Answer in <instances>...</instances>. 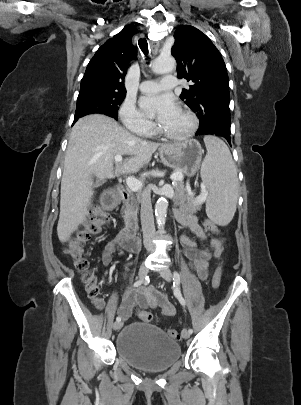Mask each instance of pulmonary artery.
I'll use <instances>...</instances> for the list:
<instances>
[{"label": "pulmonary artery", "instance_id": "e3ab8cb5", "mask_svg": "<svg viewBox=\"0 0 301 405\" xmlns=\"http://www.w3.org/2000/svg\"><path fill=\"white\" fill-rule=\"evenodd\" d=\"M177 86V79L175 76L168 75L163 77L160 81L147 80L140 84V90L143 93H156L161 90L172 89Z\"/></svg>", "mask_w": 301, "mask_h": 405}]
</instances>
